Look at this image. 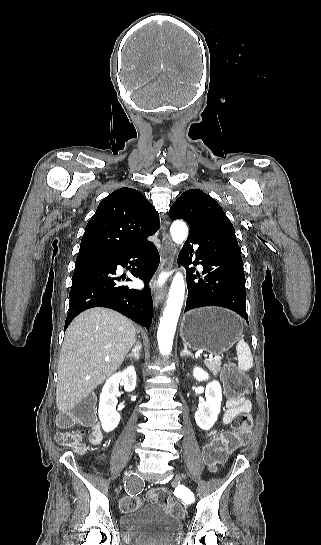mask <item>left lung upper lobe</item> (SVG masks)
I'll use <instances>...</instances> for the list:
<instances>
[{"label": "left lung upper lobe", "instance_id": "obj_1", "mask_svg": "<svg viewBox=\"0 0 321 545\" xmlns=\"http://www.w3.org/2000/svg\"><path fill=\"white\" fill-rule=\"evenodd\" d=\"M169 217L184 219L191 228L211 225L215 222L230 223L221 206L199 189L184 192L172 205Z\"/></svg>", "mask_w": 321, "mask_h": 545}]
</instances>
